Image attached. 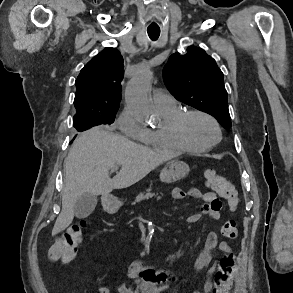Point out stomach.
Returning a JSON list of instances; mask_svg holds the SVG:
<instances>
[{"instance_id":"1","label":"stomach","mask_w":293,"mask_h":293,"mask_svg":"<svg viewBox=\"0 0 293 293\" xmlns=\"http://www.w3.org/2000/svg\"><path fill=\"white\" fill-rule=\"evenodd\" d=\"M189 166L180 160H171L160 173V180L163 183H174L183 179L189 172ZM104 206L110 210H118L122 206V202L115 197H107L104 199Z\"/></svg>"}]
</instances>
